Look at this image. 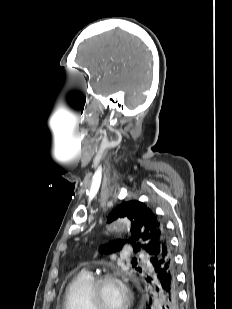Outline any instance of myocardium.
Segmentation results:
<instances>
[{"label":"myocardium","mask_w":232,"mask_h":309,"mask_svg":"<svg viewBox=\"0 0 232 309\" xmlns=\"http://www.w3.org/2000/svg\"><path fill=\"white\" fill-rule=\"evenodd\" d=\"M110 281L118 282L124 287L127 294V302L124 309H130L133 302V295L129 285L124 279L123 274L119 271L106 272L99 274L94 278L89 290V302L91 309H103L100 304V290L105 283Z\"/></svg>","instance_id":"f54148a6"}]
</instances>
